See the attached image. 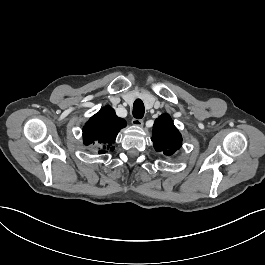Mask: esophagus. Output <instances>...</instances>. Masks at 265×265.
Returning a JSON list of instances; mask_svg holds the SVG:
<instances>
[{"label": "esophagus", "instance_id": "34e87169", "mask_svg": "<svg viewBox=\"0 0 265 265\" xmlns=\"http://www.w3.org/2000/svg\"><path fill=\"white\" fill-rule=\"evenodd\" d=\"M132 124L135 126V127H142L143 126V120L142 119H133L132 120Z\"/></svg>", "mask_w": 265, "mask_h": 265}]
</instances>
